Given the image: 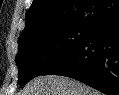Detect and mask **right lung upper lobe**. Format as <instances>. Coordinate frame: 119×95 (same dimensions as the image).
Returning a JSON list of instances; mask_svg holds the SVG:
<instances>
[{"label": "right lung upper lobe", "instance_id": "1", "mask_svg": "<svg viewBox=\"0 0 119 95\" xmlns=\"http://www.w3.org/2000/svg\"><path fill=\"white\" fill-rule=\"evenodd\" d=\"M25 18L26 26L20 37L64 25L93 30L119 19V0H33Z\"/></svg>", "mask_w": 119, "mask_h": 95}]
</instances>
